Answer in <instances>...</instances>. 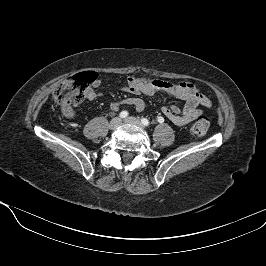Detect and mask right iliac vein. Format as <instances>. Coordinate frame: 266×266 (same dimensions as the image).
I'll use <instances>...</instances> for the list:
<instances>
[{"instance_id":"1","label":"right iliac vein","mask_w":266,"mask_h":266,"mask_svg":"<svg viewBox=\"0 0 266 266\" xmlns=\"http://www.w3.org/2000/svg\"><path fill=\"white\" fill-rule=\"evenodd\" d=\"M121 122H122L121 118L116 117L112 119L109 123V129L115 130L121 124Z\"/></svg>"}]
</instances>
